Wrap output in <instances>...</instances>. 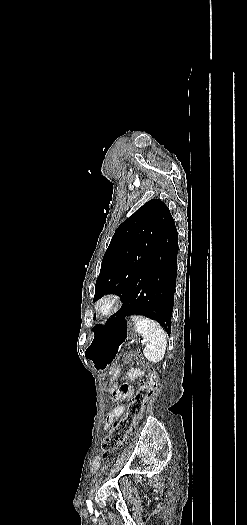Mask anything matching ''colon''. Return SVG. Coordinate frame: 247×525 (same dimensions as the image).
Instances as JSON below:
<instances>
[{"label":"colon","instance_id":"5ec220e1","mask_svg":"<svg viewBox=\"0 0 247 525\" xmlns=\"http://www.w3.org/2000/svg\"><path fill=\"white\" fill-rule=\"evenodd\" d=\"M120 373L121 370L119 368L110 370L108 373L110 381L117 379ZM158 383V375L151 370L147 379L129 403L127 413L118 422L112 424L110 432L102 442L104 452L115 450L126 442L134 429L136 421L143 412L150 393L157 387ZM107 390H110V387H107Z\"/></svg>","mask_w":247,"mask_h":525}]
</instances>
